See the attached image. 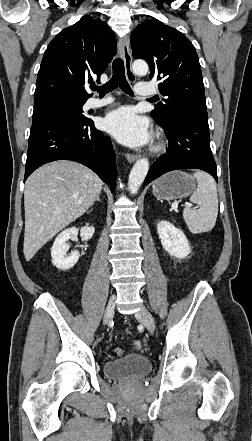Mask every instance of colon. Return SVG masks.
<instances>
[{"label":"colon","mask_w":252,"mask_h":441,"mask_svg":"<svg viewBox=\"0 0 252 441\" xmlns=\"http://www.w3.org/2000/svg\"><path fill=\"white\" fill-rule=\"evenodd\" d=\"M132 348L134 349V350H141V348H142V342L140 341V340H134L133 342H132ZM116 353L118 354V355H121L122 354V350L121 349H116Z\"/></svg>","instance_id":"obj_1"}]
</instances>
